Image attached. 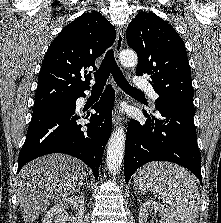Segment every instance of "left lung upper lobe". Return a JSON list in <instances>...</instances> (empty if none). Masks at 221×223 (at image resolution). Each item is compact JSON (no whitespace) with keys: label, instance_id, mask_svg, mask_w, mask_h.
<instances>
[{"label":"left lung upper lobe","instance_id":"1","mask_svg":"<svg viewBox=\"0 0 221 223\" xmlns=\"http://www.w3.org/2000/svg\"><path fill=\"white\" fill-rule=\"evenodd\" d=\"M128 45L139 57L136 75L149 74L160 105L193 110V88L183 40L166 21L154 13L140 12L126 33Z\"/></svg>","mask_w":221,"mask_h":223}]
</instances>
